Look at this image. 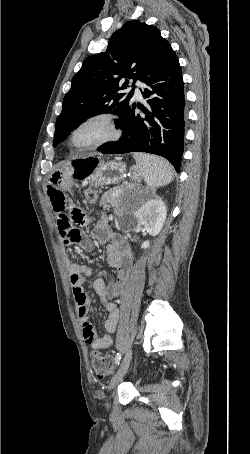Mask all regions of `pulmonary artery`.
Wrapping results in <instances>:
<instances>
[{"mask_svg":"<svg viewBox=\"0 0 250 454\" xmlns=\"http://www.w3.org/2000/svg\"><path fill=\"white\" fill-rule=\"evenodd\" d=\"M131 89H134V93H135V97L136 98L140 99L142 97L141 91H140V89H139V87L137 85L134 86V87H129L128 91H130Z\"/></svg>","mask_w":250,"mask_h":454,"instance_id":"pulmonary-artery-1","label":"pulmonary artery"}]
</instances>
